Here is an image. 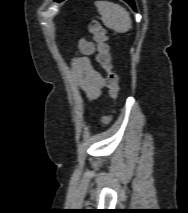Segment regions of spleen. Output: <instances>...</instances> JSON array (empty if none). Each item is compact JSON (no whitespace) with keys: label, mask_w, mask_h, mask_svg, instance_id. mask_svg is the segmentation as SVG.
I'll return each instance as SVG.
<instances>
[{"label":"spleen","mask_w":188,"mask_h":213,"mask_svg":"<svg viewBox=\"0 0 188 213\" xmlns=\"http://www.w3.org/2000/svg\"><path fill=\"white\" fill-rule=\"evenodd\" d=\"M103 24L118 33H125L132 28L128 11L119 4L108 1H96Z\"/></svg>","instance_id":"1"}]
</instances>
